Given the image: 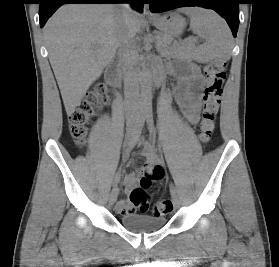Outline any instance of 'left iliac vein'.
<instances>
[{
	"label": "left iliac vein",
	"mask_w": 279,
	"mask_h": 267,
	"mask_svg": "<svg viewBox=\"0 0 279 267\" xmlns=\"http://www.w3.org/2000/svg\"><path fill=\"white\" fill-rule=\"evenodd\" d=\"M172 202L175 209H178L180 207V202L176 194L172 195Z\"/></svg>",
	"instance_id": "1"
}]
</instances>
